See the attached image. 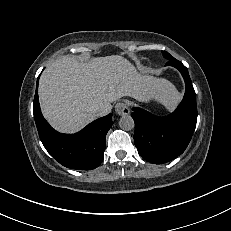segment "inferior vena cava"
I'll return each instance as SVG.
<instances>
[{"label":"inferior vena cava","instance_id":"inferior-vena-cava-1","mask_svg":"<svg viewBox=\"0 0 231 231\" xmlns=\"http://www.w3.org/2000/svg\"><path fill=\"white\" fill-rule=\"evenodd\" d=\"M109 112H110V110H109L107 107H105V106H102V107L96 109V115H97L98 117L105 116V115H107Z\"/></svg>","mask_w":231,"mask_h":231}]
</instances>
